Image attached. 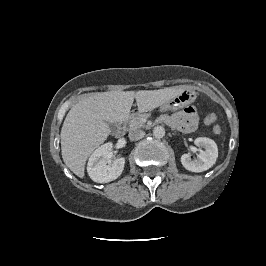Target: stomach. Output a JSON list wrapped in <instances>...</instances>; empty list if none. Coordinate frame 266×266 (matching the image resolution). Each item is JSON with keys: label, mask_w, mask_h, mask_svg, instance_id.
I'll return each instance as SVG.
<instances>
[{"label": "stomach", "mask_w": 266, "mask_h": 266, "mask_svg": "<svg viewBox=\"0 0 266 266\" xmlns=\"http://www.w3.org/2000/svg\"><path fill=\"white\" fill-rule=\"evenodd\" d=\"M195 100V93L191 88L185 87L178 94L170 98L163 105L161 110H175L182 108Z\"/></svg>", "instance_id": "obj_1"}]
</instances>
